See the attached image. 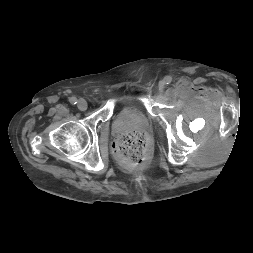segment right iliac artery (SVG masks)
I'll return each mask as SVG.
<instances>
[{
  "instance_id": "obj_1",
  "label": "right iliac artery",
  "mask_w": 253,
  "mask_h": 253,
  "mask_svg": "<svg viewBox=\"0 0 253 253\" xmlns=\"http://www.w3.org/2000/svg\"><path fill=\"white\" fill-rule=\"evenodd\" d=\"M69 101H70V103L73 104V105L77 104V102H78V100H77L76 97H71V98L69 99Z\"/></svg>"
}]
</instances>
